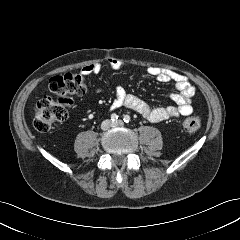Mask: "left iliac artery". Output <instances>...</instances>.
<instances>
[{"label": "left iliac artery", "mask_w": 240, "mask_h": 240, "mask_svg": "<svg viewBox=\"0 0 240 240\" xmlns=\"http://www.w3.org/2000/svg\"><path fill=\"white\" fill-rule=\"evenodd\" d=\"M123 120H124L125 123H129V122L131 121V118H130L129 115H125V116L123 117Z\"/></svg>", "instance_id": "left-iliac-artery-1"}]
</instances>
